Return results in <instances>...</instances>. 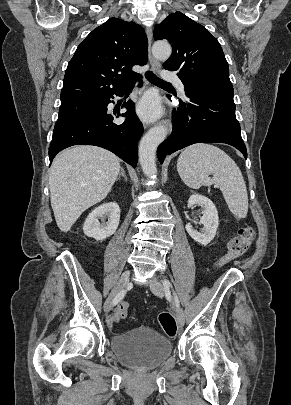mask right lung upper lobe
<instances>
[{
  "label": "right lung upper lobe",
  "mask_w": 291,
  "mask_h": 405,
  "mask_svg": "<svg viewBox=\"0 0 291 405\" xmlns=\"http://www.w3.org/2000/svg\"><path fill=\"white\" fill-rule=\"evenodd\" d=\"M148 59V40L134 22L111 18L94 29L70 60L61 90V103L103 99L139 76L133 65Z\"/></svg>",
  "instance_id": "right-lung-upper-lobe-1"
}]
</instances>
